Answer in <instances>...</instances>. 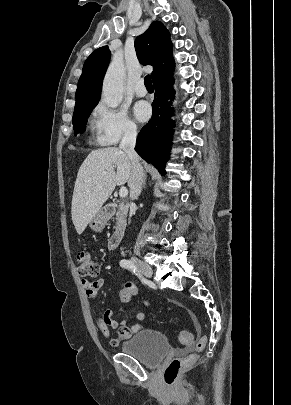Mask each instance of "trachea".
<instances>
[{
	"mask_svg": "<svg viewBox=\"0 0 291 405\" xmlns=\"http://www.w3.org/2000/svg\"><path fill=\"white\" fill-rule=\"evenodd\" d=\"M144 83H145L146 88H153V85H152V82H151V79H150L149 75H147L145 77Z\"/></svg>",
	"mask_w": 291,
	"mask_h": 405,
	"instance_id": "3493384b",
	"label": "trachea"
}]
</instances>
